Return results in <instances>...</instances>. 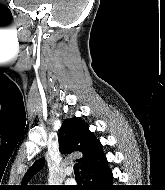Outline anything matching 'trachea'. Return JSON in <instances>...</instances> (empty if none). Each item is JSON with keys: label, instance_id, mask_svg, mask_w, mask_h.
I'll return each instance as SVG.
<instances>
[{"label": "trachea", "instance_id": "1", "mask_svg": "<svg viewBox=\"0 0 165 190\" xmlns=\"http://www.w3.org/2000/svg\"><path fill=\"white\" fill-rule=\"evenodd\" d=\"M74 170H75V176H76V177H80L79 164H78V163H76V164L74 165Z\"/></svg>", "mask_w": 165, "mask_h": 190}]
</instances>
